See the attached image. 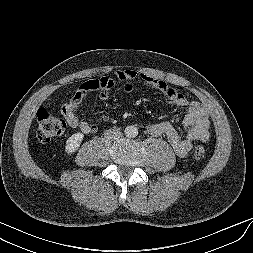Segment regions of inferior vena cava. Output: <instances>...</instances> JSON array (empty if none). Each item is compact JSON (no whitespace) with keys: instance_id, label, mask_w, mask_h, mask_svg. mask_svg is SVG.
<instances>
[{"instance_id":"obj_1","label":"inferior vena cava","mask_w":253,"mask_h":253,"mask_svg":"<svg viewBox=\"0 0 253 253\" xmlns=\"http://www.w3.org/2000/svg\"><path fill=\"white\" fill-rule=\"evenodd\" d=\"M104 136L108 140H118L122 137L119 129H109L104 132Z\"/></svg>"}]
</instances>
